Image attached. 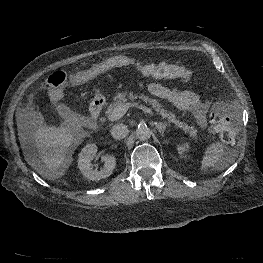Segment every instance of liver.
I'll return each mask as SVG.
<instances>
[{"label": "liver", "mask_w": 263, "mask_h": 263, "mask_svg": "<svg viewBox=\"0 0 263 263\" xmlns=\"http://www.w3.org/2000/svg\"><path fill=\"white\" fill-rule=\"evenodd\" d=\"M16 118L22 147L25 148V140L30 136L40 155V159L31 165L43 178L54 180L62 177L72 162V146L78 145L85 133L74 123L55 127L42 122H28L20 111Z\"/></svg>", "instance_id": "obj_1"}]
</instances>
